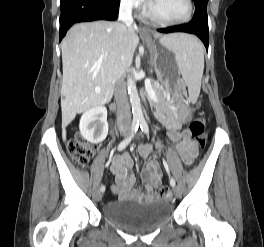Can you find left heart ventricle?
I'll use <instances>...</instances> for the list:
<instances>
[{"label": "left heart ventricle", "instance_id": "left-heart-ventricle-1", "mask_svg": "<svg viewBox=\"0 0 264 247\" xmlns=\"http://www.w3.org/2000/svg\"><path fill=\"white\" fill-rule=\"evenodd\" d=\"M151 7L156 15L166 20H178L187 13L186 0H154Z\"/></svg>", "mask_w": 264, "mask_h": 247}]
</instances>
